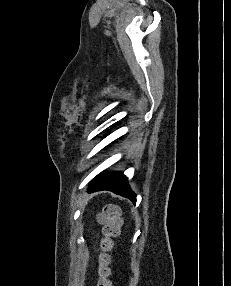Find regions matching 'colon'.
Masks as SVG:
<instances>
[{
    "label": "colon",
    "mask_w": 231,
    "mask_h": 286,
    "mask_svg": "<svg viewBox=\"0 0 231 286\" xmlns=\"http://www.w3.org/2000/svg\"><path fill=\"white\" fill-rule=\"evenodd\" d=\"M98 221L102 225L103 237L100 242L101 252L99 255L97 286H112L110 281L111 257L109 253L113 247V238L119 234L120 230L118 209L113 205H106L98 215Z\"/></svg>",
    "instance_id": "5ec220e1"
}]
</instances>
